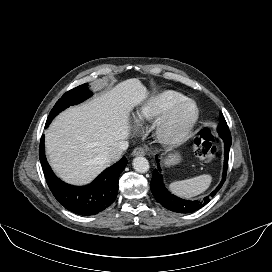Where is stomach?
<instances>
[{"label":"stomach","instance_id":"obj_1","mask_svg":"<svg viewBox=\"0 0 272 272\" xmlns=\"http://www.w3.org/2000/svg\"><path fill=\"white\" fill-rule=\"evenodd\" d=\"M181 162V155L178 152L170 153L165 159L166 166L176 165Z\"/></svg>","mask_w":272,"mask_h":272}]
</instances>
